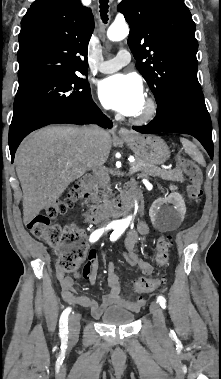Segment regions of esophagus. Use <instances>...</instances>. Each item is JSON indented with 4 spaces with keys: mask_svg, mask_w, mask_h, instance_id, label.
<instances>
[{
    "mask_svg": "<svg viewBox=\"0 0 221 379\" xmlns=\"http://www.w3.org/2000/svg\"><path fill=\"white\" fill-rule=\"evenodd\" d=\"M118 134H119V136H121V137H126V136H129V135H130V132H129V130L126 129V128H120V129L118 130Z\"/></svg>",
    "mask_w": 221,
    "mask_h": 379,
    "instance_id": "obj_1",
    "label": "esophagus"
}]
</instances>
